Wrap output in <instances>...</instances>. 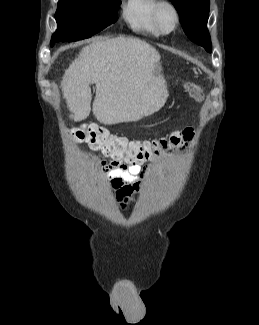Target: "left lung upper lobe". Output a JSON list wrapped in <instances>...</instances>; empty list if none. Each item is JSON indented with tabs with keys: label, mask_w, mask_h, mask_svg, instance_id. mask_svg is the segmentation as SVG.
Segmentation results:
<instances>
[{
	"label": "left lung upper lobe",
	"mask_w": 259,
	"mask_h": 325,
	"mask_svg": "<svg viewBox=\"0 0 259 325\" xmlns=\"http://www.w3.org/2000/svg\"><path fill=\"white\" fill-rule=\"evenodd\" d=\"M182 20L188 38L211 52V39L207 30L210 0H170Z\"/></svg>",
	"instance_id": "left-lung-upper-lobe-1"
}]
</instances>
